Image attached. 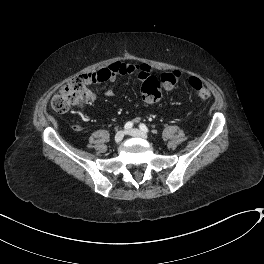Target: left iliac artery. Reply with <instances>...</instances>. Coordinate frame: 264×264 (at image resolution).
<instances>
[{
    "instance_id": "1",
    "label": "left iliac artery",
    "mask_w": 264,
    "mask_h": 264,
    "mask_svg": "<svg viewBox=\"0 0 264 264\" xmlns=\"http://www.w3.org/2000/svg\"><path fill=\"white\" fill-rule=\"evenodd\" d=\"M139 128L144 131V132H149V129L147 128V126L145 124H140Z\"/></svg>"
}]
</instances>
